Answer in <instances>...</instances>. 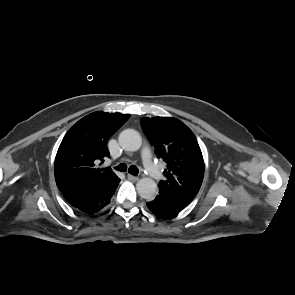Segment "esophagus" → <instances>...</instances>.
Listing matches in <instances>:
<instances>
[{"mask_svg": "<svg viewBox=\"0 0 295 295\" xmlns=\"http://www.w3.org/2000/svg\"><path fill=\"white\" fill-rule=\"evenodd\" d=\"M127 177H128V179L131 180V181H137V180H139V178H138L137 176H133V175H131V174H128Z\"/></svg>", "mask_w": 295, "mask_h": 295, "instance_id": "esophagus-1", "label": "esophagus"}]
</instances>
